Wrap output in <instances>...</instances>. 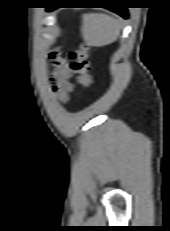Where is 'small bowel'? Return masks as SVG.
Segmentation results:
<instances>
[{"instance_id":"1","label":"small bowel","mask_w":170,"mask_h":231,"mask_svg":"<svg viewBox=\"0 0 170 231\" xmlns=\"http://www.w3.org/2000/svg\"><path fill=\"white\" fill-rule=\"evenodd\" d=\"M50 58L54 63L55 90L63 101H66L72 84L70 82L71 72L66 61L59 56L58 52L54 51L50 54Z\"/></svg>"}]
</instances>
